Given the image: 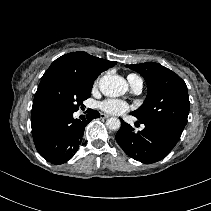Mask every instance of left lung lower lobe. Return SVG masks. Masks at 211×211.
I'll return each instance as SVG.
<instances>
[{
    "label": "left lung lower lobe",
    "mask_w": 211,
    "mask_h": 211,
    "mask_svg": "<svg viewBox=\"0 0 211 211\" xmlns=\"http://www.w3.org/2000/svg\"><path fill=\"white\" fill-rule=\"evenodd\" d=\"M145 128L138 133L121 119L115 139L130 157L142 163H154L165 158L180 139L181 134L162 124L141 122Z\"/></svg>",
    "instance_id": "left-lung-lower-lobe-1"
}]
</instances>
